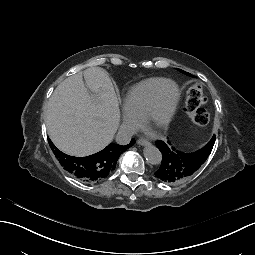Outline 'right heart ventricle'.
Masks as SVG:
<instances>
[{
    "mask_svg": "<svg viewBox=\"0 0 255 255\" xmlns=\"http://www.w3.org/2000/svg\"><path fill=\"white\" fill-rule=\"evenodd\" d=\"M164 81L161 78H150L130 87L122 99L126 114L135 120L140 119L151 106L157 89Z\"/></svg>",
    "mask_w": 255,
    "mask_h": 255,
    "instance_id": "1",
    "label": "right heart ventricle"
}]
</instances>
